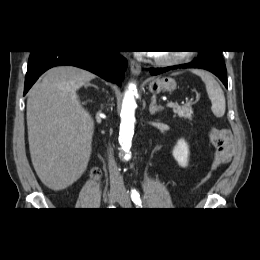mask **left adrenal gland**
<instances>
[{"label":"left adrenal gland","instance_id":"left-adrenal-gland-1","mask_svg":"<svg viewBox=\"0 0 260 260\" xmlns=\"http://www.w3.org/2000/svg\"><path fill=\"white\" fill-rule=\"evenodd\" d=\"M163 107L156 104V96L153 95L151 99V104L149 106V112L151 115H154L156 112L162 111Z\"/></svg>","mask_w":260,"mask_h":260}]
</instances>
